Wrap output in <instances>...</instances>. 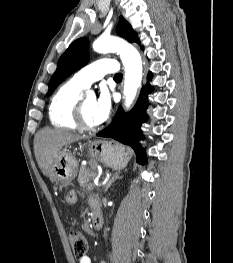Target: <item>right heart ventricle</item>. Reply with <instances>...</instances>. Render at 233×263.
<instances>
[{"label":"right heart ventricle","mask_w":233,"mask_h":263,"mask_svg":"<svg viewBox=\"0 0 233 263\" xmlns=\"http://www.w3.org/2000/svg\"><path fill=\"white\" fill-rule=\"evenodd\" d=\"M84 88L68 80L62 84L51 98L49 118L55 127L77 129L75 121V106Z\"/></svg>","instance_id":"1"}]
</instances>
